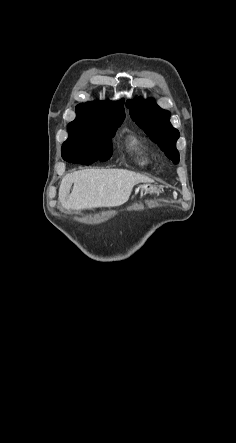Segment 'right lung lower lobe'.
Instances as JSON below:
<instances>
[{
    "instance_id": "98d812e1",
    "label": "right lung lower lobe",
    "mask_w": 236,
    "mask_h": 443,
    "mask_svg": "<svg viewBox=\"0 0 236 443\" xmlns=\"http://www.w3.org/2000/svg\"><path fill=\"white\" fill-rule=\"evenodd\" d=\"M112 152L113 149L96 146H72L62 148V157L68 162L89 165L97 160H108Z\"/></svg>"
}]
</instances>
